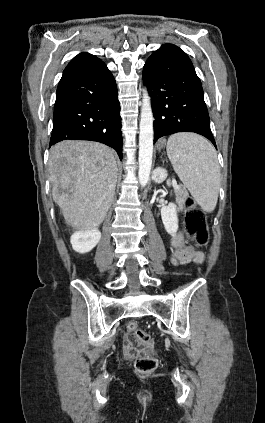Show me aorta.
Listing matches in <instances>:
<instances>
[{"instance_id": "aorta-1", "label": "aorta", "mask_w": 265, "mask_h": 423, "mask_svg": "<svg viewBox=\"0 0 265 423\" xmlns=\"http://www.w3.org/2000/svg\"><path fill=\"white\" fill-rule=\"evenodd\" d=\"M139 124V170L138 179L142 187L146 186L152 167L153 155V112L151 107V98L147 88H143L142 107Z\"/></svg>"}]
</instances>
